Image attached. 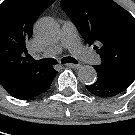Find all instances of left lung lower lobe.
Returning a JSON list of instances; mask_svg holds the SVG:
<instances>
[{"instance_id": "obj_1", "label": "left lung lower lobe", "mask_w": 135, "mask_h": 135, "mask_svg": "<svg viewBox=\"0 0 135 135\" xmlns=\"http://www.w3.org/2000/svg\"><path fill=\"white\" fill-rule=\"evenodd\" d=\"M95 70L97 71L98 78L93 84L86 86V88L96 96L113 97L120 94L131 85V83L119 80L104 71L96 68Z\"/></svg>"}]
</instances>
